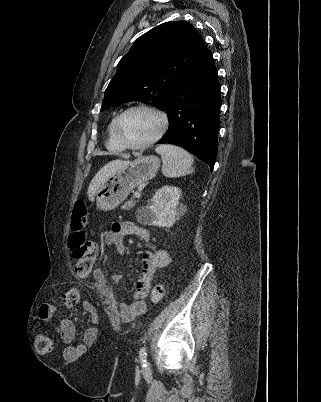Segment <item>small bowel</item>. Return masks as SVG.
<instances>
[{
	"label": "small bowel",
	"mask_w": 321,
	"mask_h": 402,
	"mask_svg": "<svg viewBox=\"0 0 321 402\" xmlns=\"http://www.w3.org/2000/svg\"><path fill=\"white\" fill-rule=\"evenodd\" d=\"M125 236H135L150 247V250L142 255L141 274L136 282L133 301L130 304L119 303L120 318L123 322L129 323L145 312L146 303L144 300L149 293L153 274L157 269L166 267L169 264L170 255L166 250L158 248L153 243L149 230L131 221L113 223L105 236V244L113 247L118 256H123L126 253L123 241ZM92 275L100 285H108L107 276L101 267H94ZM119 279V275L112 277L113 282H117ZM82 309L84 311H92L94 304L92 302H84ZM58 311L59 308L56 304L42 303L39 307V318L44 323H49ZM97 326L98 323L92 321L90 327L83 332L84 338L82 344H75V329L71 321L63 319L58 325H53V328L57 331L64 344L63 355L66 360L72 361L76 358H83L84 353L88 352V347H95Z\"/></svg>",
	"instance_id": "c3829d8e"
}]
</instances>
